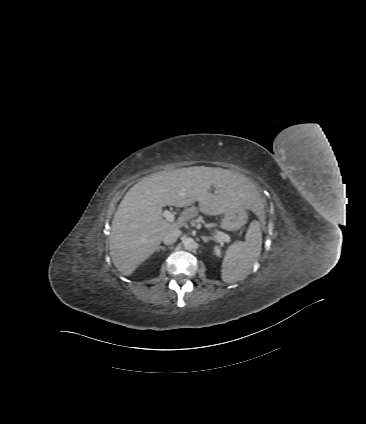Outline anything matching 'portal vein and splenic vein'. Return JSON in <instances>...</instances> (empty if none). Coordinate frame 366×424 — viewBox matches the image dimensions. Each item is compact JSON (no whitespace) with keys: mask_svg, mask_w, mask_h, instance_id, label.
Returning <instances> with one entry per match:
<instances>
[{"mask_svg":"<svg viewBox=\"0 0 366 424\" xmlns=\"http://www.w3.org/2000/svg\"><path fill=\"white\" fill-rule=\"evenodd\" d=\"M163 217L169 222L175 221V214L170 212L169 210H165L163 212ZM216 235L226 242H229L231 240L230 236L226 233L216 232Z\"/></svg>","mask_w":366,"mask_h":424,"instance_id":"portal-vein-and-splenic-vein-1","label":"portal vein and splenic vein"}]
</instances>
